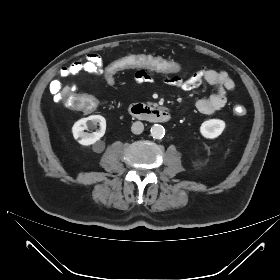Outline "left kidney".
Listing matches in <instances>:
<instances>
[{"mask_svg":"<svg viewBox=\"0 0 280 280\" xmlns=\"http://www.w3.org/2000/svg\"><path fill=\"white\" fill-rule=\"evenodd\" d=\"M225 122L220 119H209L204 121L200 126V133L208 139L217 138L223 132Z\"/></svg>","mask_w":280,"mask_h":280,"instance_id":"5707ae66","label":"left kidney"}]
</instances>
